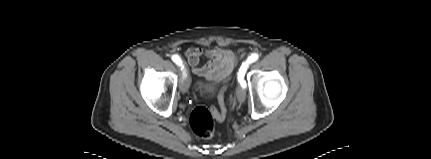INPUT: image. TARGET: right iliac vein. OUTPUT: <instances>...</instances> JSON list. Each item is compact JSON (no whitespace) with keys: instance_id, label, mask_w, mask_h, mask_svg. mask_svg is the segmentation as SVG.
<instances>
[{"instance_id":"obj_1","label":"right iliac vein","mask_w":431,"mask_h":159,"mask_svg":"<svg viewBox=\"0 0 431 159\" xmlns=\"http://www.w3.org/2000/svg\"><path fill=\"white\" fill-rule=\"evenodd\" d=\"M189 84H190V79H189V76L186 74L184 80L180 85V90L182 93H186L188 91Z\"/></svg>"}]
</instances>
